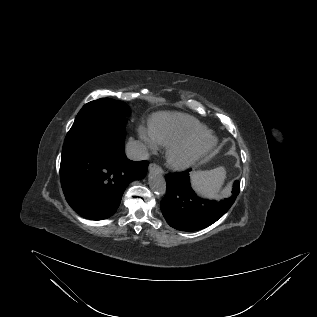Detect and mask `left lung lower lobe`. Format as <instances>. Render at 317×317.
<instances>
[{
    "mask_svg": "<svg viewBox=\"0 0 317 317\" xmlns=\"http://www.w3.org/2000/svg\"><path fill=\"white\" fill-rule=\"evenodd\" d=\"M189 171L166 176L167 191L160 205L167 223L182 231L200 230L216 222L229 210L240 191V184L235 181L230 198L220 202L202 199L190 186Z\"/></svg>",
    "mask_w": 317,
    "mask_h": 317,
    "instance_id": "obj_1",
    "label": "left lung lower lobe"
}]
</instances>
